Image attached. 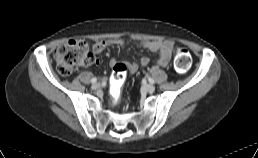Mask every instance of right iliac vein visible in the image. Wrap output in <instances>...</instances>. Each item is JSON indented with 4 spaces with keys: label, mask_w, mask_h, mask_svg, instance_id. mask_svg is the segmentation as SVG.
Returning a JSON list of instances; mask_svg holds the SVG:
<instances>
[{
    "label": "right iliac vein",
    "mask_w": 258,
    "mask_h": 158,
    "mask_svg": "<svg viewBox=\"0 0 258 158\" xmlns=\"http://www.w3.org/2000/svg\"><path fill=\"white\" fill-rule=\"evenodd\" d=\"M91 88H92L93 90H97V89L100 88V84H99V83H94V84L91 86Z\"/></svg>",
    "instance_id": "1"
}]
</instances>
